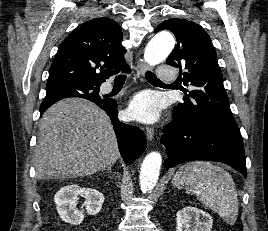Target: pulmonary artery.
<instances>
[{
	"label": "pulmonary artery",
	"mask_w": 268,
	"mask_h": 231,
	"mask_svg": "<svg viewBox=\"0 0 268 231\" xmlns=\"http://www.w3.org/2000/svg\"><path fill=\"white\" fill-rule=\"evenodd\" d=\"M159 80L170 82L175 79V73L173 67L170 65L159 66V71L156 76ZM107 89V88H106Z\"/></svg>",
	"instance_id": "pulmonary-artery-1"
}]
</instances>
